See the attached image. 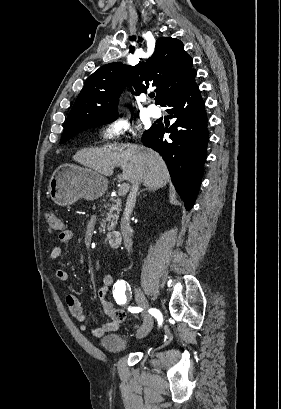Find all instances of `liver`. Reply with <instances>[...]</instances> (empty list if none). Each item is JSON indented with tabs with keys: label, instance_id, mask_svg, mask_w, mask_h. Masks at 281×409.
<instances>
[{
	"label": "liver",
	"instance_id": "6515ba94",
	"mask_svg": "<svg viewBox=\"0 0 281 409\" xmlns=\"http://www.w3.org/2000/svg\"><path fill=\"white\" fill-rule=\"evenodd\" d=\"M109 146V148H108ZM103 146V148H82L74 154V160L97 170L100 174L111 176L115 166H121L122 174H117L119 180L134 182L141 176L144 186L162 188L166 186L170 176L162 156L141 144H120V146ZM125 148V150H124Z\"/></svg>",
	"mask_w": 281,
	"mask_h": 409
}]
</instances>
